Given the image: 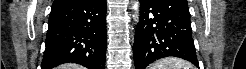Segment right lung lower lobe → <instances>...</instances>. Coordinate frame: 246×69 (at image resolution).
Listing matches in <instances>:
<instances>
[{"mask_svg": "<svg viewBox=\"0 0 246 69\" xmlns=\"http://www.w3.org/2000/svg\"><path fill=\"white\" fill-rule=\"evenodd\" d=\"M106 0L53 3L41 69L74 62L105 69Z\"/></svg>", "mask_w": 246, "mask_h": 69, "instance_id": "right-lung-lower-lobe-1", "label": "right lung lower lobe"}]
</instances>
